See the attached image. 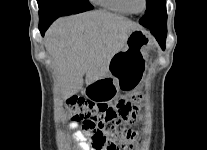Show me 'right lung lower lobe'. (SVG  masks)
<instances>
[{
    "label": "right lung lower lobe",
    "mask_w": 207,
    "mask_h": 150,
    "mask_svg": "<svg viewBox=\"0 0 207 150\" xmlns=\"http://www.w3.org/2000/svg\"><path fill=\"white\" fill-rule=\"evenodd\" d=\"M55 19H50V20H45V21H40L39 22V30L41 32V35L43 36L45 31L48 29V27L52 24V22Z\"/></svg>",
    "instance_id": "1"
}]
</instances>
